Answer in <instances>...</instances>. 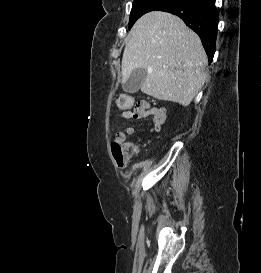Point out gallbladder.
Instances as JSON below:
<instances>
[{"mask_svg":"<svg viewBox=\"0 0 261 273\" xmlns=\"http://www.w3.org/2000/svg\"><path fill=\"white\" fill-rule=\"evenodd\" d=\"M146 77L147 71L145 69L137 68L133 70L128 80L122 85L123 91L127 93L138 92Z\"/></svg>","mask_w":261,"mask_h":273,"instance_id":"obj_1","label":"gallbladder"}]
</instances>
